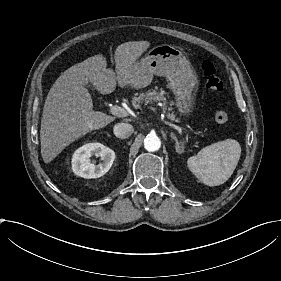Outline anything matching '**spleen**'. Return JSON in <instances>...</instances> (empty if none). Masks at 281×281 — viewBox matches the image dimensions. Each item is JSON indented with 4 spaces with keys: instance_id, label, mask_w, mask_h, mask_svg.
<instances>
[{
    "instance_id": "3e777b00",
    "label": "spleen",
    "mask_w": 281,
    "mask_h": 281,
    "mask_svg": "<svg viewBox=\"0 0 281 281\" xmlns=\"http://www.w3.org/2000/svg\"><path fill=\"white\" fill-rule=\"evenodd\" d=\"M241 155V146L226 139L201 149L187 160L189 170L204 184L218 186L233 174Z\"/></svg>"
}]
</instances>
